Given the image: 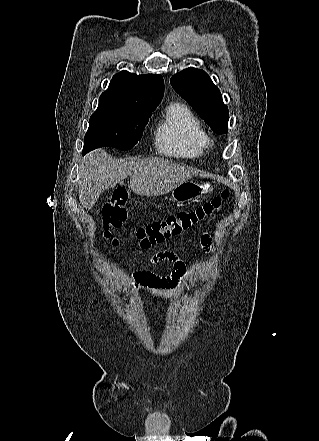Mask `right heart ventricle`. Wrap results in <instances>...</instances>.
I'll return each instance as SVG.
<instances>
[{
  "mask_svg": "<svg viewBox=\"0 0 319 441\" xmlns=\"http://www.w3.org/2000/svg\"><path fill=\"white\" fill-rule=\"evenodd\" d=\"M155 145L165 154L194 158L207 150L210 137L186 105L173 103L156 126Z\"/></svg>",
  "mask_w": 319,
  "mask_h": 441,
  "instance_id": "e07e8e85",
  "label": "right heart ventricle"
}]
</instances>
